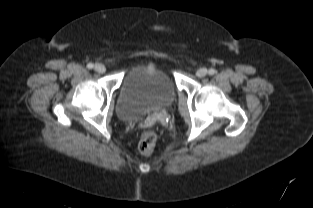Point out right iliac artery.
<instances>
[{"mask_svg":"<svg viewBox=\"0 0 313 208\" xmlns=\"http://www.w3.org/2000/svg\"><path fill=\"white\" fill-rule=\"evenodd\" d=\"M93 66H94V65H93L92 63H88V64H87V68H88V69H92Z\"/></svg>","mask_w":313,"mask_h":208,"instance_id":"1","label":"right iliac artery"}]
</instances>
